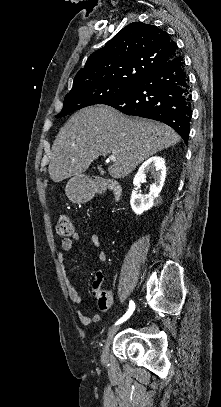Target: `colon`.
I'll use <instances>...</instances> for the list:
<instances>
[{
	"label": "colon",
	"instance_id": "colon-1",
	"mask_svg": "<svg viewBox=\"0 0 221 407\" xmlns=\"http://www.w3.org/2000/svg\"><path fill=\"white\" fill-rule=\"evenodd\" d=\"M56 229H57V233L60 236H71L74 232V225H73V222H72L70 216L61 215L58 219ZM93 291L98 294H101V295L104 292L101 284H95L93 286ZM98 303H99V308L102 311H107L110 307V302L106 299H101Z\"/></svg>",
	"mask_w": 221,
	"mask_h": 407
}]
</instances>
